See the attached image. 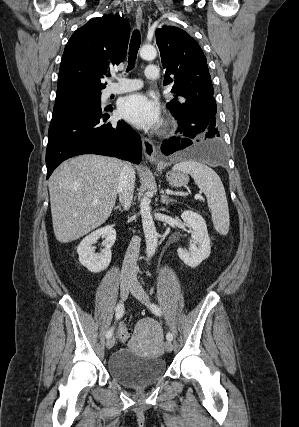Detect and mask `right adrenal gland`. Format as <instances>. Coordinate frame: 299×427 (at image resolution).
<instances>
[{
	"label": "right adrenal gland",
	"instance_id": "2a0ac1e0",
	"mask_svg": "<svg viewBox=\"0 0 299 427\" xmlns=\"http://www.w3.org/2000/svg\"><path fill=\"white\" fill-rule=\"evenodd\" d=\"M114 210H119L120 212H122V211H123V209L121 208V206H120V205H118V206L114 207Z\"/></svg>",
	"mask_w": 299,
	"mask_h": 427
}]
</instances>
